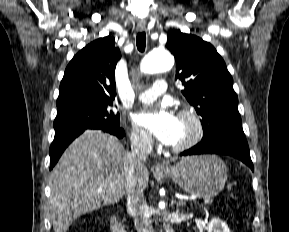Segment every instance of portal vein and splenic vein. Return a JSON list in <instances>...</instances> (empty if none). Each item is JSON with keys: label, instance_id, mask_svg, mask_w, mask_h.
I'll list each match as a JSON object with an SVG mask.
<instances>
[{"label": "portal vein and splenic vein", "instance_id": "obj_1", "mask_svg": "<svg viewBox=\"0 0 289 232\" xmlns=\"http://www.w3.org/2000/svg\"><path fill=\"white\" fill-rule=\"evenodd\" d=\"M98 191H100V190H98ZM190 200L195 201L196 199L195 198H191ZM212 202H213V199H206L203 202H201V205H209Z\"/></svg>", "mask_w": 289, "mask_h": 232}]
</instances>
